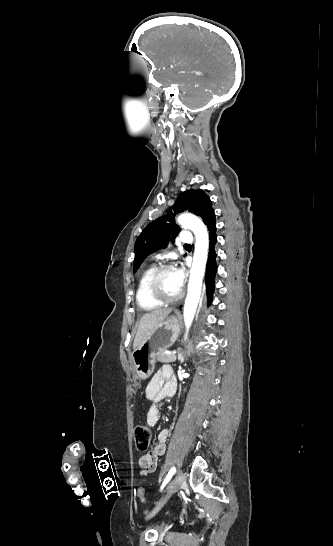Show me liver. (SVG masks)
<instances>
[{
	"label": "liver",
	"instance_id": "6515ba94",
	"mask_svg": "<svg viewBox=\"0 0 333 546\" xmlns=\"http://www.w3.org/2000/svg\"><path fill=\"white\" fill-rule=\"evenodd\" d=\"M171 311L172 309H156L141 317L133 343L134 350L148 340L156 327L167 318Z\"/></svg>",
	"mask_w": 333,
	"mask_h": 546
}]
</instances>
